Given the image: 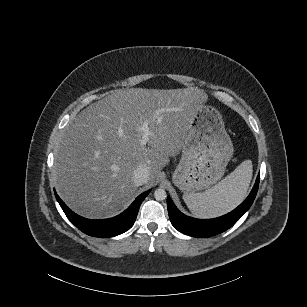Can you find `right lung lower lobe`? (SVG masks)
Returning <instances> with one entry per match:
<instances>
[{
	"instance_id": "obj_1",
	"label": "right lung lower lobe",
	"mask_w": 307,
	"mask_h": 307,
	"mask_svg": "<svg viewBox=\"0 0 307 307\" xmlns=\"http://www.w3.org/2000/svg\"><path fill=\"white\" fill-rule=\"evenodd\" d=\"M149 191L138 196L131 206L120 215L103 220H91L83 218L71 211L65 203L55 194L68 219L82 232L94 237H113L130 229L135 222L139 207Z\"/></svg>"
}]
</instances>
